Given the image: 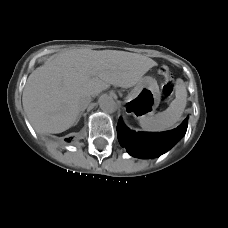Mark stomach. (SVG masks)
<instances>
[{
  "label": "stomach",
  "instance_id": "0dacf381",
  "mask_svg": "<svg viewBox=\"0 0 228 228\" xmlns=\"http://www.w3.org/2000/svg\"><path fill=\"white\" fill-rule=\"evenodd\" d=\"M160 90L157 81L150 77H143L128 95L130 108H134L139 119L151 116L160 103Z\"/></svg>",
  "mask_w": 228,
  "mask_h": 228
}]
</instances>
